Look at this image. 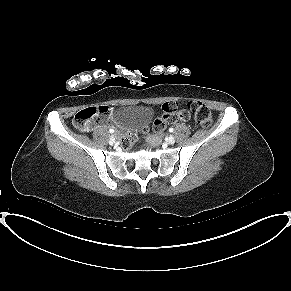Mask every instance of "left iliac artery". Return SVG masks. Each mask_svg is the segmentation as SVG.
<instances>
[{
    "mask_svg": "<svg viewBox=\"0 0 291 291\" xmlns=\"http://www.w3.org/2000/svg\"><path fill=\"white\" fill-rule=\"evenodd\" d=\"M169 131H170V132H173V131H174V129H173V128H170V129H169Z\"/></svg>",
    "mask_w": 291,
    "mask_h": 291,
    "instance_id": "44dca946",
    "label": "left iliac artery"
}]
</instances>
